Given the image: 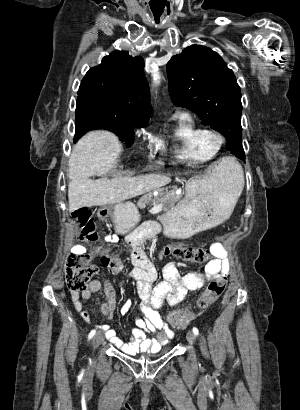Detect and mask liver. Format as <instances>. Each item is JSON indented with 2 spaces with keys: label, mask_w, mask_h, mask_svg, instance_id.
Here are the masks:
<instances>
[{
  "label": "liver",
  "mask_w": 300,
  "mask_h": 410,
  "mask_svg": "<svg viewBox=\"0 0 300 410\" xmlns=\"http://www.w3.org/2000/svg\"><path fill=\"white\" fill-rule=\"evenodd\" d=\"M122 144L109 131L97 130L84 135L74 146L70 159L68 184L69 212L81 207L116 204L168 184L171 179L160 173L135 177L90 179L115 166Z\"/></svg>",
  "instance_id": "6515ba94"
}]
</instances>
